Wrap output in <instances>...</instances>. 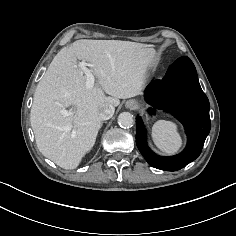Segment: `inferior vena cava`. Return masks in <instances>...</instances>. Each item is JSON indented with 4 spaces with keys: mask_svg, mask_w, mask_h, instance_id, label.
Instances as JSON below:
<instances>
[{
    "mask_svg": "<svg viewBox=\"0 0 236 236\" xmlns=\"http://www.w3.org/2000/svg\"><path fill=\"white\" fill-rule=\"evenodd\" d=\"M115 108L111 104H106L101 111L99 112L98 116L101 120H108L114 114Z\"/></svg>",
    "mask_w": 236,
    "mask_h": 236,
    "instance_id": "602c4592",
    "label": "inferior vena cava"
}]
</instances>
